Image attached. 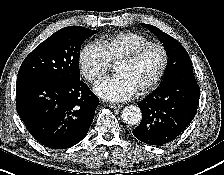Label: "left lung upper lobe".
Returning <instances> with one entry per match:
<instances>
[{
  "instance_id": "left-lung-upper-lobe-1",
  "label": "left lung upper lobe",
  "mask_w": 224,
  "mask_h": 175,
  "mask_svg": "<svg viewBox=\"0 0 224 175\" xmlns=\"http://www.w3.org/2000/svg\"><path fill=\"white\" fill-rule=\"evenodd\" d=\"M144 28L153 32L157 38L163 43L168 55V64L164 73V80L183 72H193L192 62L184 47L173 37L162 32L155 26L149 24H141Z\"/></svg>"
}]
</instances>
